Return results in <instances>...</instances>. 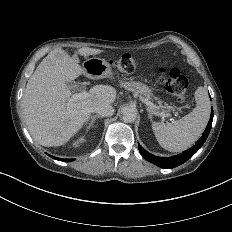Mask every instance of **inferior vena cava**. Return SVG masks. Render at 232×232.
<instances>
[{
    "mask_svg": "<svg viewBox=\"0 0 232 232\" xmlns=\"http://www.w3.org/2000/svg\"><path fill=\"white\" fill-rule=\"evenodd\" d=\"M94 112L99 116L111 117L114 114V109L111 105L100 103L94 107Z\"/></svg>",
    "mask_w": 232,
    "mask_h": 232,
    "instance_id": "inferior-vena-cava-1",
    "label": "inferior vena cava"
}]
</instances>
